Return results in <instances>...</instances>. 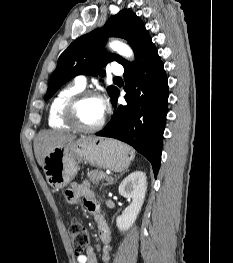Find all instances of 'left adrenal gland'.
<instances>
[{"mask_svg":"<svg viewBox=\"0 0 233 263\" xmlns=\"http://www.w3.org/2000/svg\"><path fill=\"white\" fill-rule=\"evenodd\" d=\"M120 176H122V174L121 175H119L118 177H116L114 180H111V181H109L106 185H110V184H113L117 179H119L120 178Z\"/></svg>","mask_w":233,"mask_h":263,"instance_id":"1","label":"left adrenal gland"}]
</instances>
